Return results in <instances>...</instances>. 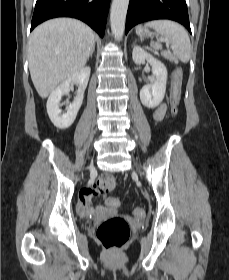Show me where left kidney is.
<instances>
[{"label": "left kidney", "mask_w": 229, "mask_h": 280, "mask_svg": "<svg viewBox=\"0 0 229 280\" xmlns=\"http://www.w3.org/2000/svg\"><path fill=\"white\" fill-rule=\"evenodd\" d=\"M132 58L137 65L144 64L147 61L152 66V74L156 80L154 83L146 85L140 90V99L144 106L155 108L163 101L165 96L167 69L161 61L138 46L133 48Z\"/></svg>", "instance_id": "1"}]
</instances>
